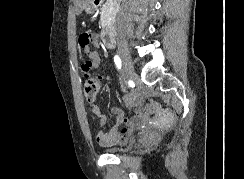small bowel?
Returning <instances> with one entry per match:
<instances>
[{"label":"small bowel","instance_id":"1","mask_svg":"<svg viewBox=\"0 0 244 179\" xmlns=\"http://www.w3.org/2000/svg\"><path fill=\"white\" fill-rule=\"evenodd\" d=\"M102 45L101 36L98 33L85 32L79 38V47L86 55L87 59L82 64V71L88 74L91 71H96L101 66V58L99 53L95 50ZM125 103L133 109L135 116L131 120H127L123 113L118 109H113L115 120L110 127L105 131L98 132L97 142L104 147H112L124 142L125 138L131 131L138 127L141 122L143 109L140 101L136 97H126ZM90 113L99 119L100 125L106 124V119L101 115L97 106L89 107ZM125 124L124 127H121Z\"/></svg>","mask_w":244,"mask_h":179}]
</instances>
